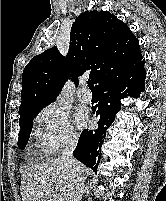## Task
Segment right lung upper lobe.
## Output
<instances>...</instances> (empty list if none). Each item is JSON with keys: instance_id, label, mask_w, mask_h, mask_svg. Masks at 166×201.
Wrapping results in <instances>:
<instances>
[{"instance_id": "1", "label": "right lung upper lobe", "mask_w": 166, "mask_h": 201, "mask_svg": "<svg viewBox=\"0 0 166 201\" xmlns=\"http://www.w3.org/2000/svg\"><path fill=\"white\" fill-rule=\"evenodd\" d=\"M141 58L139 40L125 23L106 11H86L72 25L66 57L52 47L33 57L25 67L19 115L53 102L68 79V71L76 83L79 76L90 71L89 78L97 86L107 74Z\"/></svg>"}]
</instances>
